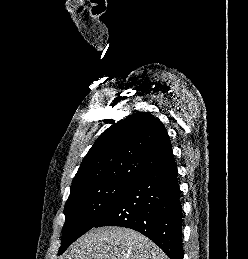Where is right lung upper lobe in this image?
Returning a JSON list of instances; mask_svg holds the SVG:
<instances>
[{"instance_id":"right-lung-upper-lobe-1","label":"right lung upper lobe","mask_w":248,"mask_h":259,"mask_svg":"<svg viewBox=\"0 0 248 259\" xmlns=\"http://www.w3.org/2000/svg\"><path fill=\"white\" fill-rule=\"evenodd\" d=\"M174 161L169 136L150 112H136L104 131L84 157L71 190L136 179Z\"/></svg>"}]
</instances>
